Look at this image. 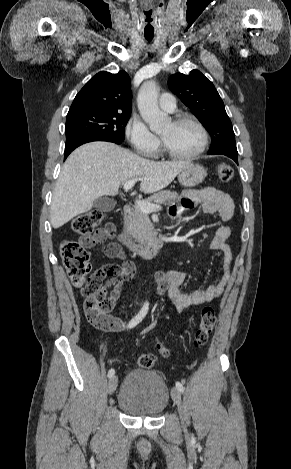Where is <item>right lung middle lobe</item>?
Instances as JSON below:
<instances>
[{"mask_svg": "<svg viewBox=\"0 0 291 469\" xmlns=\"http://www.w3.org/2000/svg\"><path fill=\"white\" fill-rule=\"evenodd\" d=\"M130 113L86 110L67 114L66 139L100 136L124 140L125 126Z\"/></svg>", "mask_w": 291, "mask_h": 469, "instance_id": "1", "label": "right lung middle lobe"}]
</instances>
